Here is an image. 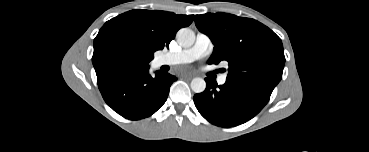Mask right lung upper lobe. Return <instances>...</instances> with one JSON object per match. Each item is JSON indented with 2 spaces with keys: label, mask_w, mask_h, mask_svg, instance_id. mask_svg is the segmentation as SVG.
<instances>
[{
  "label": "right lung upper lobe",
  "mask_w": 369,
  "mask_h": 152,
  "mask_svg": "<svg viewBox=\"0 0 369 152\" xmlns=\"http://www.w3.org/2000/svg\"><path fill=\"white\" fill-rule=\"evenodd\" d=\"M193 19L194 15L143 9L116 16L103 25L94 39L92 62L95 71L101 58L123 50L135 53L148 65L154 52L168 48L176 32L189 26Z\"/></svg>",
  "instance_id": "1"
}]
</instances>
